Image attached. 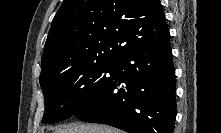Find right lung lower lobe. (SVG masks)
I'll list each match as a JSON object with an SVG mask.
<instances>
[{"instance_id": "98d812e1", "label": "right lung lower lobe", "mask_w": 221, "mask_h": 133, "mask_svg": "<svg viewBox=\"0 0 221 133\" xmlns=\"http://www.w3.org/2000/svg\"><path fill=\"white\" fill-rule=\"evenodd\" d=\"M169 38L118 57L107 80L74 116L129 133H173L176 86Z\"/></svg>"}]
</instances>
